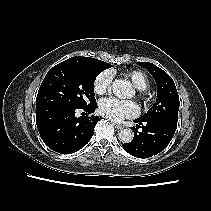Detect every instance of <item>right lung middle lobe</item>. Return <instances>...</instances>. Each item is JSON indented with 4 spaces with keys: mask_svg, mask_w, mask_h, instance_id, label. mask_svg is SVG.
<instances>
[{
    "mask_svg": "<svg viewBox=\"0 0 211 211\" xmlns=\"http://www.w3.org/2000/svg\"><path fill=\"white\" fill-rule=\"evenodd\" d=\"M111 65L94 58H70L46 74L37 94L36 107L85 108L96 103L94 82Z\"/></svg>",
    "mask_w": 211,
    "mask_h": 211,
    "instance_id": "dd1d6c3e",
    "label": "right lung middle lobe"
}]
</instances>
